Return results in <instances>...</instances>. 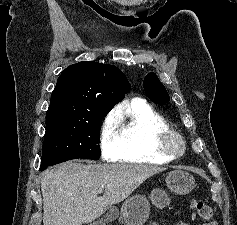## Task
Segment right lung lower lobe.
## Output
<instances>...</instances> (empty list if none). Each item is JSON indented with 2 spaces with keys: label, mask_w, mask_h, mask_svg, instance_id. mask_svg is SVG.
I'll list each match as a JSON object with an SVG mask.
<instances>
[{
  "label": "right lung lower lobe",
  "mask_w": 237,
  "mask_h": 225,
  "mask_svg": "<svg viewBox=\"0 0 237 225\" xmlns=\"http://www.w3.org/2000/svg\"><path fill=\"white\" fill-rule=\"evenodd\" d=\"M78 158L79 157L72 155H42L40 171L45 170L48 166Z\"/></svg>",
  "instance_id": "1"
}]
</instances>
